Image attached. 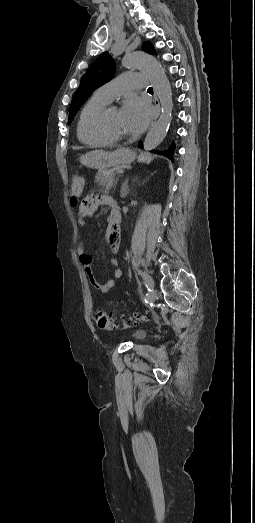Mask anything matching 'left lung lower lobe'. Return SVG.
<instances>
[{
  "instance_id": "0a47b994",
  "label": "left lung lower lobe",
  "mask_w": 255,
  "mask_h": 523,
  "mask_svg": "<svg viewBox=\"0 0 255 523\" xmlns=\"http://www.w3.org/2000/svg\"><path fill=\"white\" fill-rule=\"evenodd\" d=\"M139 144L140 148H145V143L139 141ZM176 144L177 141L175 139H171L167 144V147L158 148V153L166 154V158H169L171 162H175L177 160V154L174 152V150L176 149Z\"/></svg>"
}]
</instances>
